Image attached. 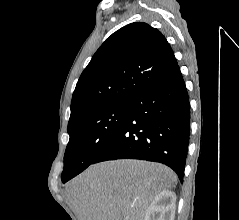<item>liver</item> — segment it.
Here are the masks:
<instances>
[{"label": "liver", "instance_id": "obj_1", "mask_svg": "<svg viewBox=\"0 0 239 220\" xmlns=\"http://www.w3.org/2000/svg\"><path fill=\"white\" fill-rule=\"evenodd\" d=\"M176 183L165 165L120 159L90 166L67 192L78 220H144L155 196Z\"/></svg>", "mask_w": 239, "mask_h": 220}]
</instances>
